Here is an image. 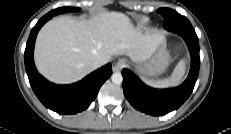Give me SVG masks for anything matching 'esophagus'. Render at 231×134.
<instances>
[{"label": "esophagus", "mask_w": 231, "mask_h": 134, "mask_svg": "<svg viewBox=\"0 0 231 134\" xmlns=\"http://www.w3.org/2000/svg\"><path fill=\"white\" fill-rule=\"evenodd\" d=\"M126 66V60L125 59H119L113 67L114 71L122 70Z\"/></svg>", "instance_id": "esophagus-1"}]
</instances>
